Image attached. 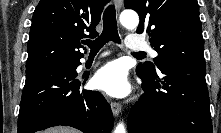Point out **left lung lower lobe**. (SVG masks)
I'll return each mask as SVG.
<instances>
[{"instance_id":"obj_1","label":"left lung lower lobe","mask_w":221,"mask_h":133,"mask_svg":"<svg viewBox=\"0 0 221 133\" xmlns=\"http://www.w3.org/2000/svg\"><path fill=\"white\" fill-rule=\"evenodd\" d=\"M159 70L136 68L144 93L131 109L128 133H212L205 66L171 62Z\"/></svg>"}]
</instances>
